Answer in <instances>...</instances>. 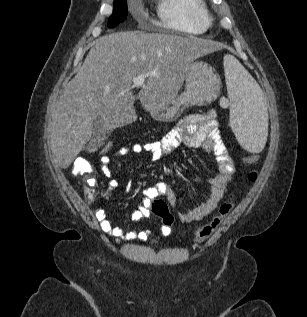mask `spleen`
<instances>
[{
    "label": "spleen",
    "instance_id": "spleen-1",
    "mask_svg": "<svg viewBox=\"0 0 307 317\" xmlns=\"http://www.w3.org/2000/svg\"><path fill=\"white\" fill-rule=\"evenodd\" d=\"M224 71L231 101L230 124L239 144L259 153L267 139L268 113L259 85L232 55L224 57Z\"/></svg>",
    "mask_w": 307,
    "mask_h": 317
}]
</instances>
